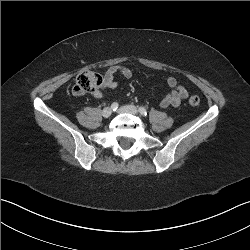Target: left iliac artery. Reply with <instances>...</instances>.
I'll list each match as a JSON object with an SVG mask.
<instances>
[{"instance_id":"1","label":"left iliac artery","mask_w":250,"mask_h":250,"mask_svg":"<svg viewBox=\"0 0 250 250\" xmlns=\"http://www.w3.org/2000/svg\"><path fill=\"white\" fill-rule=\"evenodd\" d=\"M139 112L141 115L146 116L147 115V110L144 107H139Z\"/></svg>"}]
</instances>
